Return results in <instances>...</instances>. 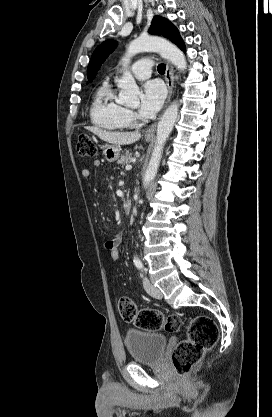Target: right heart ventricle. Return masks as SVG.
Here are the masks:
<instances>
[{
  "mask_svg": "<svg viewBox=\"0 0 272 417\" xmlns=\"http://www.w3.org/2000/svg\"><path fill=\"white\" fill-rule=\"evenodd\" d=\"M90 117L93 124L109 131L123 130L130 125L125 116V108L117 101L109 83L97 89L92 101Z\"/></svg>",
  "mask_w": 272,
  "mask_h": 417,
  "instance_id": "1",
  "label": "right heart ventricle"
}]
</instances>
